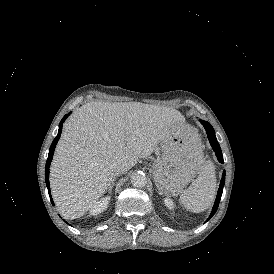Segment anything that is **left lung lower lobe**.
I'll list each match as a JSON object with an SVG mask.
<instances>
[{
    "label": "left lung lower lobe",
    "mask_w": 274,
    "mask_h": 274,
    "mask_svg": "<svg viewBox=\"0 0 274 274\" xmlns=\"http://www.w3.org/2000/svg\"><path fill=\"white\" fill-rule=\"evenodd\" d=\"M201 123L206 129L208 139L210 141V144H211L213 150L216 153V156H217L219 162L223 163L222 152H221V148L219 146V143L217 142V139H216V136H215V131L213 130L212 126L207 121H201ZM224 183H225V171L223 172V175H222V179H221V182H220V187L218 189V194H217V198H216L214 207H213L212 212H211L209 218L207 219V221L215 214V212L218 209L219 202H220V199H221V195H222V192H223Z\"/></svg>",
    "instance_id": "0a47b994"
}]
</instances>
